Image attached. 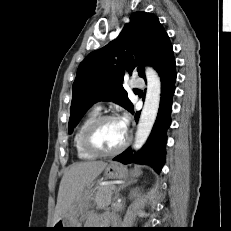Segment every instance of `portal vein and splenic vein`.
<instances>
[{"mask_svg": "<svg viewBox=\"0 0 231 231\" xmlns=\"http://www.w3.org/2000/svg\"><path fill=\"white\" fill-rule=\"evenodd\" d=\"M111 189H112V190H115V186H112Z\"/></svg>", "mask_w": 231, "mask_h": 231, "instance_id": "1", "label": "portal vein and splenic vein"}]
</instances>
